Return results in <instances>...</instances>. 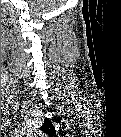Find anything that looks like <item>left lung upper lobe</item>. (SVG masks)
Returning <instances> with one entry per match:
<instances>
[{
  "label": "left lung upper lobe",
  "mask_w": 121,
  "mask_h": 137,
  "mask_svg": "<svg viewBox=\"0 0 121 137\" xmlns=\"http://www.w3.org/2000/svg\"><path fill=\"white\" fill-rule=\"evenodd\" d=\"M42 130L44 132H46L47 134H50L54 131V127L49 119H46V122H45L44 126L42 127Z\"/></svg>",
  "instance_id": "1"
}]
</instances>
